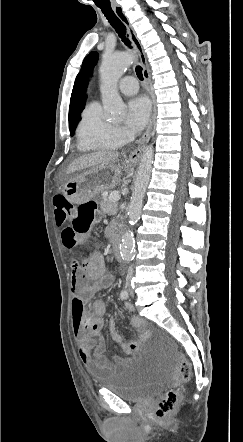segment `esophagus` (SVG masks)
I'll return each mask as SVG.
<instances>
[{
  "label": "esophagus",
  "instance_id": "34e87169",
  "mask_svg": "<svg viewBox=\"0 0 243 442\" xmlns=\"http://www.w3.org/2000/svg\"><path fill=\"white\" fill-rule=\"evenodd\" d=\"M113 10H114L115 14L118 16V18L125 25L127 35L138 53V56L141 61V65L143 67V76H144V79H145L147 85L149 86L148 91H149V94L151 97V102H152L151 115H150V119H149V122H148V125L146 128V131L144 132L143 136L140 138L137 148L129 155V160L132 162H135L140 158L142 152L144 151L146 144L149 141L150 133H151L152 126H153L155 106H154L153 93L151 91V77H150V72H149V67H148V62H147L145 52L142 48V45H141L134 29L132 28V26L129 22L128 17L126 16L125 12L123 11V8L120 5H115L113 7Z\"/></svg>",
  "mask_w": 243,
  "mask_h": 442
}]
</instances>
